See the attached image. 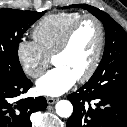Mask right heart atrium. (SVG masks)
<instances>
[{"label":"right heart atrium","mask_w":127,"mask_h":127,"mask_svg":"<svg viewBox=\"0 0 127 127\" xmlns=\"http://www.w3.org/2000/svg\"><path fill=\"white\" fill-rule=\"evenodd\" d=\"M16 56L25 74L33 79L39 78L50 63L35 41L20 40L16 46Z\"/></svg>","instance_id":"d8ad5b80"}]
</instances>
